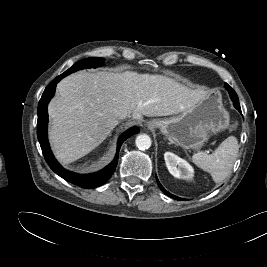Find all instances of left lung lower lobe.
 I'll use <instances>...</instances> for the list:
<instances>
[{"label":"left lung lower lobe","mask_w":267,"mask_h":267,"mask_svg":"<svg viewBox=\"0 0 267 267\" xmlns=\"http://www.w3.org/2000/svg\"><path fill=\"white\" fill-rule=\"evenodd\" d=\"M226 86V89L228 90L229 92V95L231 97V100L233 101V105L234 107L241 113V108H240V104H239V99H238V96L236 94V92L228 85V84H225ZM156 180H157V183L160 187V189L165 193L167 194L168 196L172 197L173 199H176V200H182L181 198L175 196V195H171L169 192H167L163 187L162 185L160 184V182L158 181L157 177H156Z\"/></svg>","instance_id":"0a47b994"}]
</instances>
